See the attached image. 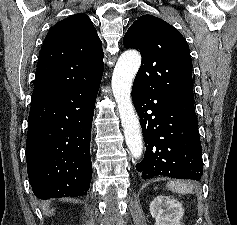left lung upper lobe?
Instances as JSON below:
<instances>
[{"mask_svg":"<svg viewBox=\"0 0 237 225\" xmlns=\"http://www.w3.org/2000/svg\"><path fill=\"white\" fill-rule=\"evenodd\" d=\"M123 44L141 52L142 63L134 85L155 94L194 98L190 50L173 26L143 15L128 28Z\"/></svg>","mask_w":237,"mask_h":225,"instance_id":"5c2ea615","label":"left lung upper lobe"}]
</instances>
